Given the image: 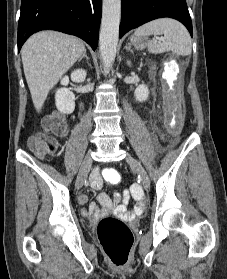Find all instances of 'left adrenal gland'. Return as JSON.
Here are the masks:
<instances>
[{
    "instance_id": "obj_1",
    "label": "left adrenal gland",
    "mask_w": 227,
    "mask_h": 279,
    "mask_svg": "<svg viewBox=\"0 0 227 279\" xmlns=\"http://www.w3.org/2000/svg\"><path fill=\"white\" fill-rule=\"evenodd\" d=\"M125 49L128 50V51L133 52L132 49H131V44H127L126 47H125Z\"/></svg>"
}]
</instances>
